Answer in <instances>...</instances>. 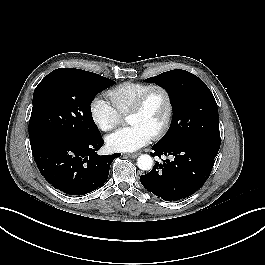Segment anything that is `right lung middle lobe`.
Wrapping results in <instances>:
<instances>
[{"instance_id":"1","label":"right lung middle lobe","mask_w":265,"mask_h":265,"mask_svg":"<svg viewBox=\"0 0 265 265\" xmlns=\"http://www.w3.org/2000/svg\"><path fill=\"white\" fill-rule=\"evenodd\" d=\"M114 83L111 79L75 68H59L49 73L33 94L29 122L31 145L99 135L90 104L99 92Z\"/></svg>"}]
</instances>
